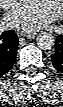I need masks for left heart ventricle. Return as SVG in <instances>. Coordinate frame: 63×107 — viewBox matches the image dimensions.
Wrapping results in <instances>:
<instances>
[{
  "label": "left heart ventricle",
  "instance_id": "obj_1",
  "mask_svg": "<svg viewBox=\"0 0 63 107\" xmlns=\"http://www.w3.org/2000/svg\"><path fill=\"white\" fill-rule=\"evenodd\" d=\"M56 2L52 1V2H47V6L50 7L49 5H54Z\"/></svg>",
  "mask_w": 63,
  "mask_h": 107
}]
</instances>
